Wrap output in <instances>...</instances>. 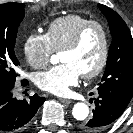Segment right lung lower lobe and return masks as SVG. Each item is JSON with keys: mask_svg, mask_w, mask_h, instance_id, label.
Here are the masks:
<instances>
[{"mask_svg": "<svg viewBox=\"0 0 133 133\" xmlns=\"http://www.w3.org/2000/svg\"><path fill=\"white\" fill-rule=\"evenodd\" d=\"M27 84V80L22 81V85ZM44 102L45 98L37 94L27 100H18L13 94V88L0 91V131L25 128Z\"/></svg>", "mask_w": 133, "mask_h": 133, "instance_id": "98d812e1", "label": "right lung lower lobe"}]
</instances>
